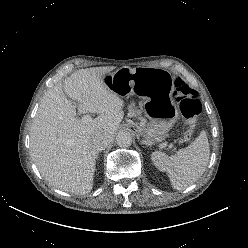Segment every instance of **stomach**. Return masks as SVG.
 Segmentation results:
<instances>
[{
	"label": "stomach",
	"instance_id": "0dacf381",
	"mask_svg": "<svg viewBox=\"0 0 248 248\" xmlns=\"http://www.w3.org/2000/svg\"><path fill=\"white\" fill-rule=\"evenodd\" d=\"M103 82L120 97L136 93L144 101V113L138 134L147 142H162L178 118L172 99L174 78L170 72L154 67H122L106 74Z\"/></svg>",
	"mask_w": 248,
	"mask_h": 248
}]
</instances>
